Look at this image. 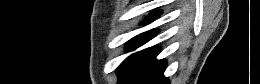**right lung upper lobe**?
Returning a JSON list of instances; mask_svg holds the SVG:
<instances>
[{
    "label": "right lung upper lobe",
    "instance_id": "cb5924a9",
    "mask_svg": "<svg viewBox=\"0 0 260 84\" xmlns=\"http://www.w3.org/2000/svg\"><path fill=\"white\" fill-rule=\"evenodd\" d=\"M158 16H159V12H155V13L151 14V16L149 17L148 22H149L150 20H154V19L157 18Z\"/></svg>",
    "mask_w": 260,
    "mask_h": 84
}]
</instances>
